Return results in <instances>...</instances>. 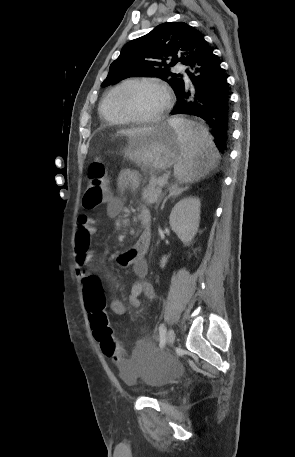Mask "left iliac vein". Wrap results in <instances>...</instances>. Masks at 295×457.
Listing matches in <instances>:
<instances>
[{"label":"left iliac vein","mask_w":295,"mask_h":457,"mask_svg":"<svg viewBox=\"0 0 295 457\" xmlns=\"http://www.w3.org/2000/svg\"><path fill=\"white\" fill-rule=\"evenodd\" d=\"M166 339H167V343L169 345H172L174 343V341H175V332H174L173 329H170L168 331Z\"/></svg>","instance_id":"left-iliac-vein-1"}]
</instances>
